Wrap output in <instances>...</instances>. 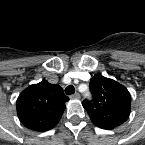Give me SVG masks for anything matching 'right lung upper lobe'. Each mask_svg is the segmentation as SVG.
Masks as SVG:
<instances>
[{
  "label": "right lung upper lobe",
  "instance_id": "cb5924a9",
  "mask_svg": "<svg viewBox=\"0 0 145 145\" xmlns=\"http://www.w3.org/2000/svg\"><path fill=\"white\" fill-rule=\"evenodd\" d=\"M68 100L61 86L43 80L20 93L16 102L17 114L26 128L48 131L58 124Z\"/></svg>",
  "mask_w": 145,
  "mask_h": 145
}]
</instances>
